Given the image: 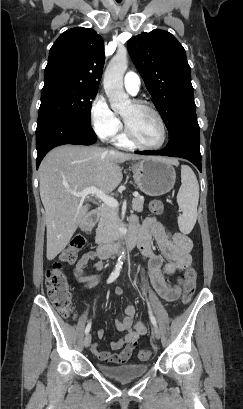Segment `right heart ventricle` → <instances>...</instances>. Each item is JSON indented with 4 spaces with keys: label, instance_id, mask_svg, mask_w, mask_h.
<instances>
[{
    "label": "right heart ventricle",
    "instance_id": "right-heart-ventricle-1",
    "mask_svg": "<svg viewBox=\"0 0 243 409\" xmlns=\"http://www.w3.org/2000/svg\"><path fill=\"white\" fill-rule=\"evenodd\" d=\"M118 145L123 148H131L132 143L127 139L126 135H121L118 138Z\"/></svg>",
    "mask_w": 243,
    "mask_h": 409
}]
</instances>
